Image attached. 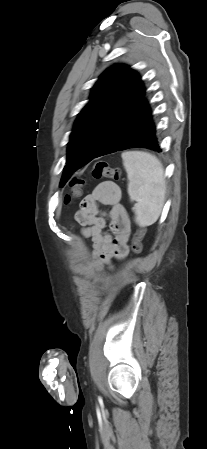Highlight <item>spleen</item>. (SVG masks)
<instances>
[{
  "label": "spleen",
  "mask_w": 207,
  "mask_h": 449,
  "mask_svg": "<svg viewBox=\"0 0 207 449\" xmlns=\"http://www.w3.org/2000/svg\"><path fill=\"white\" fill-rule=\"evenodd\" d=\"M127 172L128 194L136 201L135 221L141 227L154 224L162 211L166 182L162 163L154 155L143 151L122 153Z\"/></svg>",
  "instance_id": "1"
}]
</instances>
